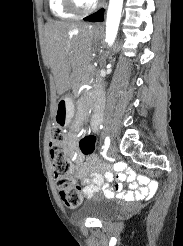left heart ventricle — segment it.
<instances>
[{
    "mask_svg": "<svg viewBox=\"0 0 183 246\" xmlns=\"http://www.w3.org/2000/svg\"><path fill=\"white\" fill-rule=\"evenodd\" d=\"M79 3L83 6H87L89 4H91L94 0H78Z\"/></svg>",
    "mask_w": 183,
    "mask_h": 246,
    "instance_id": "b2bd125f",
    "label": "left heart ventricle"
}]
</instances>
